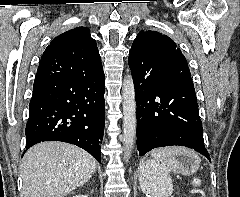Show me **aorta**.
<instances>
[{
    "mask_svg": "<svg viewBox=\"0 0 240 197\" xmlns=\"http://www.w3.org/2000/svg\"><path fill=\"white\" fill-rule=\"evenodd\" d=\"M122 98L124 159L128 160L135 141L137 126L135 87L131 75L124 78Z\"/></svg>",
    "mask_w": 240,
    "mask_h": 197,
    "instance_id": "obj_1",
    "label": "aorta"
}]
</instances>
